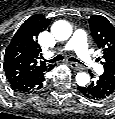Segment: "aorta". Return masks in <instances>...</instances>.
Listing matches in <instances>:
<instances>
[{
  "label": "aorta",
  "mask_w": 115,
  "mask_h": 119,
  "mask_svg": "<svg viewBox=\"0 0 115 119\" xmlns=\"http://www.w3.org/2000/svg\"><path fill=\"white\" fill-rule=\"evenodd\" d=\"M51 31L57 40H67L72 34V27L66 21H57L53 24ZM90 82V76L86 72L77 73L76 83L79 86H85Z\"/></svg>",
  "instance_id": "obj_1"
}]
</instances>
